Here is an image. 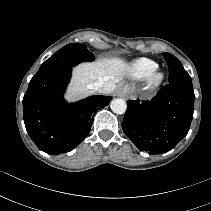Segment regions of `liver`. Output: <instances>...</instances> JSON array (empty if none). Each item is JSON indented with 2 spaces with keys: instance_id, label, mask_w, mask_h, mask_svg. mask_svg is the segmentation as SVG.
<instances>
[{
  "instance_id": "liver-1",
  "label": "liver",
  "mask_w": 211,
  "mask_h": 211,
  "mask_svg": "<svg viewBox=\"0 0 211 211\" xmlns=\"http://www.w3.org/2000/svg\"><path fill=\"white\" fill-rule=\"evenodd\" d=\"M127 67L128 64L119 58L82 63L74 68L73 79L65 98L72 101L93 93L89 86L98 80L103 82L102 92L110 94L115 91L117 83L122 81Z\"/></svg>"
}]
</instances>
